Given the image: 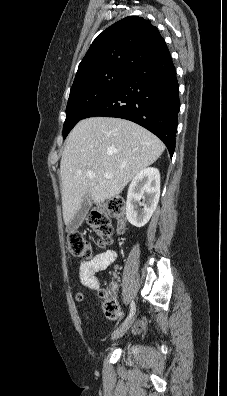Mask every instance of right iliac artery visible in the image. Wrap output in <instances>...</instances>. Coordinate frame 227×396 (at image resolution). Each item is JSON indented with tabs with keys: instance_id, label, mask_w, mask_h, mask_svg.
Listing matches in <instances>:
<instances>
[{
	"instance_id": "82829eb1",
	"label": "right iliac artery",
	"mask_w": 227,
	"mask_h": 396,
	"mask_svg": "<svg viewBox=\"0 0 227 396\" xmlns=\"http://www.w3.org/2000/svg\"><path fill=\"white\" fill-rule=\"evenodd\" d=\"M135 311H136V305H135V302L132 301L130 304V313L123 324L127 323L133 317V315L135 314Z\"/></svg>"
}]
</instances>
